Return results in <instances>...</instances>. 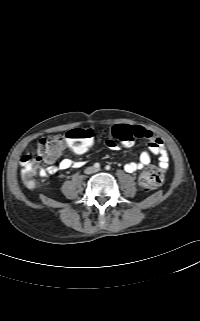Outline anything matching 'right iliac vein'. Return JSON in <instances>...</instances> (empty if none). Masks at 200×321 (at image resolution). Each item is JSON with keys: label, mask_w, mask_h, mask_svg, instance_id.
Returning a JSON list of instances; mask_svg holds the SVG:
<instances>
[{"label": "right iliac vein", "mask_w": 200, "mask_h": 321, "mask_svg": "<svg viewBox=\"0 0 200 321\" xmlns=\"http://www.w3.org/2000/svg\"><path fill=\"white\" fill-rule=\"evenodd\" d=\"M93 171H94L93 168H88V169H87V172H88V173H92Z\"/></svg>", "instance_id": "right-iliac-vein-1"}]
</instances>
